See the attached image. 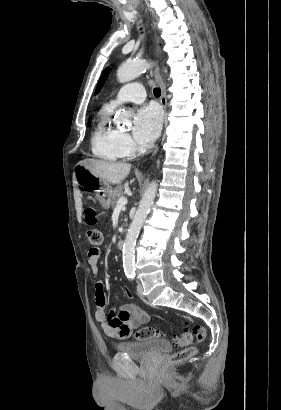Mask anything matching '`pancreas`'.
I'll use <instances>...</instances> for the list:
<instances>
[{"label": "pancreas", "instance_id": "obj_1", "mask_svg": "<svg viewBox=\"0 0 281 410\" xmlns=\"http://www.w3.org/2000/svg\"><path fill=\"white\" fill-rule=\"evenodd\" d=\"M123 186L119 185L112 191V200L111 205L114 208L119 200V198L123 197ZM124 221L127 222V218H124Z\"/></svg>", "mask_w": 281, "mask_h": 410}]
</instances>
